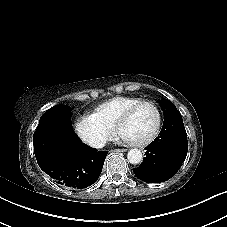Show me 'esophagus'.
I'll list each match as a JSON object with an SVG mask.
<instances>
[{"label": "esophagus", "instance_id": "1", "mask_svg": "<svg viewBox=\"0 0 227 227\" xmlns=\"http://www.w3.org/2000/svg\"><path fill=\"white\" fill-rule=\"evenodd\" d=\"M127 149H114V152H125Z\"/></svg>", "mask_w": 227, "mask_h": 227}]
</instances>
